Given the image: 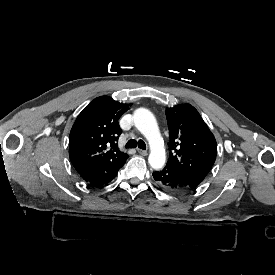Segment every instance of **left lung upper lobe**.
Wrapping results in <instances>:
<instances>
[{"label": "left lung upper lobe", "mask_w": 275, "mask_h": 275, "mask_svg": "<svg viewBox=\"0 0 275 275\" xmlns=\"http://www.w3.org/2000/svg\"><path fill=\"white\" fill-rule=\"evenodd\" d=\"M166 117L170 135V154L166 167L194 189L204 180L215 162V137L190 104L167 108Z\"/></svg>", "instance_id": "1"}]
</instances>
